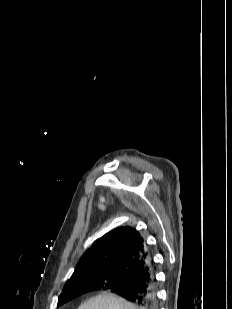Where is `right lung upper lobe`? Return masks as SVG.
<instances>
[{"label":"right lung upper lobe","mask_w":232,"mask_h":309,"mask_svg":"<svg viewBox=\"0 0 232 309\" xmlns=\"http://www.w3.org/2000/svg\"><path fill=\"white\" fill-rule=\"evenodd\" d=\"M149 258L144 240L136 229L129 226L117 227L97 239L85 251L69 280L87 272L123 274L128 264L140 265Z\"/></svg>","instance_id":"1"}]
</instances>
